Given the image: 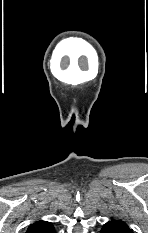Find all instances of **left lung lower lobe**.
Returning a JSON list of instances; mask_svg holds the SVG:
<instances>
[{"label":"left lung lower lobe","mask_w":148,"mask_h":233,"mask_svg":"<svg viewBox=\"0 0 148 233\" xmlns=\"http://www.w3.org/2000/svg\"><path fill=\"white\" fill-rule=\"evenodd\" d=\"M101 233H115V232H113L110 229H104V230H101Z\"/></svg>","instance_id":"0a47b994"}]
</instances>
